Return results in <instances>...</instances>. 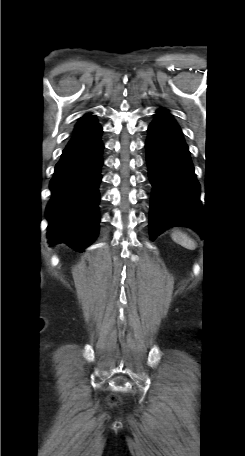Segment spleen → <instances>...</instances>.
Here are the masks:
<instances>
[{
    "mask_svg": "<svg viewBox=\"0 0 245 456\" xmlns=\"http://www.w3.org/2000/svg\"><path fill=\"white\" fill-rule=\"evenodd\" d=\"M172 238L174 241L180 243L182 246H184L187 249H194L195 248V243L192 239H190L186 234L181 233V232H174L172 234Z\"/></svg>",
    "mask_w": 245,
    "mask_h": 456,
    "instance_id": "1",
    "label": "spleen"
}]
</instances>
